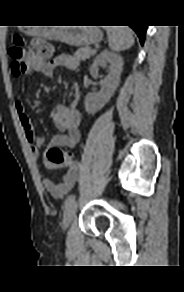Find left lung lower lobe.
<instances>
[{
	"instance_id": "obj_1",
	"label": "left lung lower lobe",
	"mask_w": 184,
	"mask_h": 292,
	"mask_svg": "<svg viewBox=\"0 0 184 292\" xmlns=\"http://www.w3.org/2000/svg\"><path fill=\"white\" fill-rule=\"evenodd\" d=\"M130 27H132L133 30L137 33V35L140 39V42L143 45L147 26H145V25H132Z\"/></svg>"
}]
</instances>
